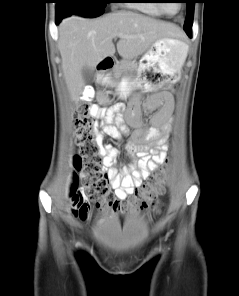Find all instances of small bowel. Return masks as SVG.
<instances>
[{
  "label": "small bowel",
  "instance_id": "c3829d8e",
  "mask_svg": "<svg viewBox=\"0 0 239 296\" xmlns=\"http://www.w3.org/2000/svg\"><path fill=\"white\" fill-rule=\"evenodd\" d=\"M85 90L88 91L91 88L87 87ZM172 107L170 94L151 96L145 101L143 111L140 109L139 97L137 101L130 102L125 118L135 130L125 145V150L130 157L127 165L117 162V149L103 143L105 135L120 140L122 133L129 131L128 127L122 123L124 106L118 104L109 109L95 107L93 116L102 118L99 127L96 128V135L104 174L117 199L125 200L133 194L142 181L165 162L168 150L167 140L172 130ZM153 111L155 113L151 116L149 124H145L142 114Z\"/></svg>",
  "mask_w": 239,
  "mask_h": 296
}]
</instances>
